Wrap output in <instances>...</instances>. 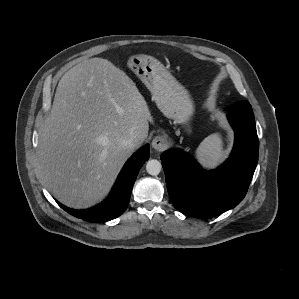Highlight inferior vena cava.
<instances>
[{"mask_svg":"<svg viewBox=\"0 0 299 299\" xmlns=\"http://www.w3.org/2000/svg\"><path fill=\"white\" fill-rule=\"evenodd\" d=\"M141 141V139H138L135 136H132L130 138L124 139L121 144L123 147L128 149H134L136 145Z\"/></svg>","mask_w":299,"mask_h":299,"instance_id":"inferior-vena-cava-1","label":"inferior vena cava"}]
</instances>
